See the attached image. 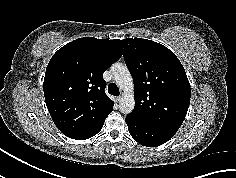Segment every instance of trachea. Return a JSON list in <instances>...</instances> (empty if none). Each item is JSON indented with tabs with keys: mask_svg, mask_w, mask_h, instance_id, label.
I'll list each match as a JSON object with an SVG mask.
<instances>
[{
	"mask_svg": "<svg viewBox=\"0 0 236 178\" xmlns=\"http://www.w3.org/2000/svg\"><path fill=\"white\" fill-rule=\"evenodd\" d=\"M108 92L114 96H118L120 94L118 87L114 83L109 84Z\"/></svg>",
	"mask_w": 236,
	"mask_h": 178,
	"instance_id": "trachea-1",
	"label": "trachea"
}]
</instances>
